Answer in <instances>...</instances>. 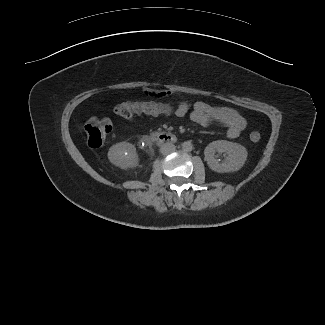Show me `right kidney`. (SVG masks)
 <instances>
[{
  "mask_svg": "<svg viewBox=\"0 0 325 325\" xmlns=\"http://www.w3.org/2000/svg\"><path fill=\"white\" fill-rule=\"evenodd\" d=\"M108 158L111 163L122 169L133 168L138 162L135 146L125 141L113 145L109 149Z\"/></svg>",
  "mask_w": 325,
  "mask_h": 325,
  "instance_id": "right-kidney-1",
  "label": "right kidney"
}]
</instances>
